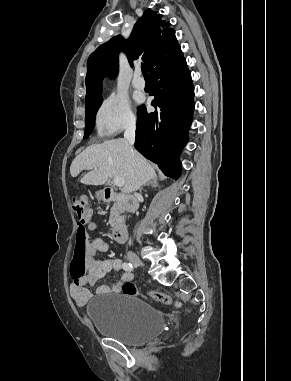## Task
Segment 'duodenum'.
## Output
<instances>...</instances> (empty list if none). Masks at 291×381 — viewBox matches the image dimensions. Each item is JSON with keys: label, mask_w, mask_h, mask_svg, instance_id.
<instances>
[{"label": "duodenum", "mask_w": 291, "mask_h": 381, "mask_svg": "<svg viewBox=\"0 0 291 381\" xmlns=\"http://www.w3.org/2000/svg\"><path fill=\"white\" fill-rule=\"evenodd\" d=\"M103 196L106 202L119 203L124 209L134 210L137 207L135 198L127 195H122L111 188H104ZM128 229L127 225L123 222H118L113 228V237L117 243H124L127 240Z\"/></svg>", "instance_id": "duodenum-1"}]
</instances>
